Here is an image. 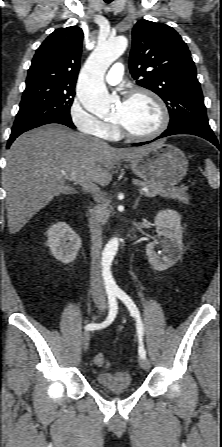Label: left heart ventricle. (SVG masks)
Returning a JSON list of instances; mask_svg holds the SVG:
<instances>
[{
	"label": "left heart ventricle",
	"mask_w": 222,
	"mask_h": 447,
	"mask_svg": "<svg viewBox=\"0 0 222 447\" xmlns=\"http://www.w3.org/2000/svg\"><path fill=\"white\" fill-rule=\"evenodd\" d=\"M114 120L132 133L147 134L159 126L160 113L151 99L141 95L122 101L115 110Z\"/></svg>",
	"instance_id": "b2bd125f"
}]
</instances>
